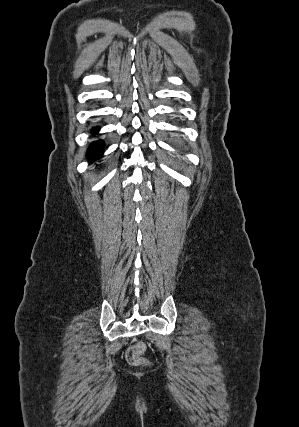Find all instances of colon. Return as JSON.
Segmentation results:
<instances>
[{"label":"colon","instance_id":"1","mask_svg":"<svg viewBox=\"0 0 299 427\" xmlns=\"http://www.w3.org/2000/svg\"><path fill=\"white\" fill-rule=\"evenodd\" d=\"M145 350L146 345L142 342L130 346L126 351L127 362L136 367L147 365L148 360L144 357Z\"/></svg>","mask_w":299,"mask_h":427}]
</instances>
